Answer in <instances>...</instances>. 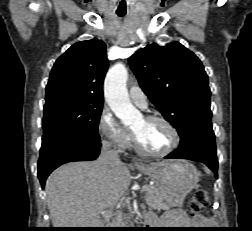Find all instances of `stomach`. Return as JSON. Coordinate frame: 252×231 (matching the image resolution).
I'll return each mask as SVG.
<instances>
[{
  "label": "stomach",
  "instance_id": "1",
  "mask_svg": "<svg viewBox=\"0 0 252 231\" xmlns=\"http://www.w3.org/2000/svg\"><path fill=\"white\" fill-rule=\"evenodd\" d=\"M138 170L155 182L163 208L180 205L199 180L196 168L185 160H167Z\"/></svg>",
  "mask_w": 252,
  "mask_h": 231
}]
</instances>
